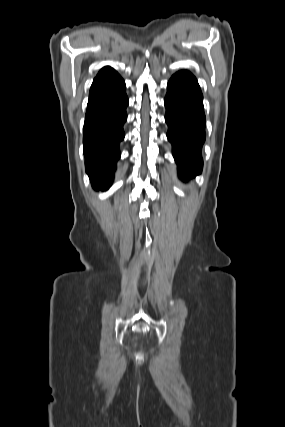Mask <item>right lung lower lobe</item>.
Instances as JSON below:
<instances>
[{"instance_id": "obj_1", "label": "right lung lower lobe", "mask_w": 285, "mask_h": 427, "mask_svg": "<svg viewBox=\"0 0 285 427\" xmlns=\"http://www.w3.org/2000/svg\"><path fill=\"white\" fill-rule=\"evenodd\" d=\"M125 82L111 69L94 79L84 123V155L86 172L95 189L106 190L112 183L119 143L124 138L128 98Z\"/></svg>"}]
</instances>
